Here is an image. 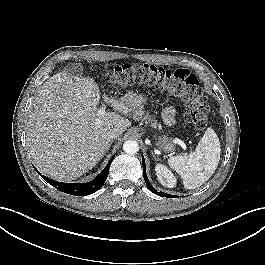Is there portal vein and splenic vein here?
Masks as SVG:
<instances>
[{"label": "portal vein and splenic vein", "mask_w": 265, "mask_h": 265, "mask_svg": "<svg viewBox=\"0 0 265 265\" xmlns=\"http://www.w3.org/2000/svg\"><path fill=\"white\" fill-rule=\"evenodd\" d=\"M106 107L102 106L98 111H97V116L100 117L101 115L104 114Z\"/></svg>", "instance_id": "1"}]
</instances>
